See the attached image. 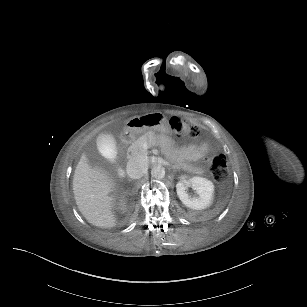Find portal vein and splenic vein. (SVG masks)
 <instances>
[{"label":"portal vein and splenic vein","instance_id":"obj_1","mask_svg":"<svg viewBox=\"0 0 307 307\" xmlns=\"http://www.w3.org/2000/svg\"><path fill=\"white\" fill-rule=\"evenodd\" d=\"M145 148H148V145H145Z\"/></svg>","mask_w":307,"mask_h":307}]
</instances>
